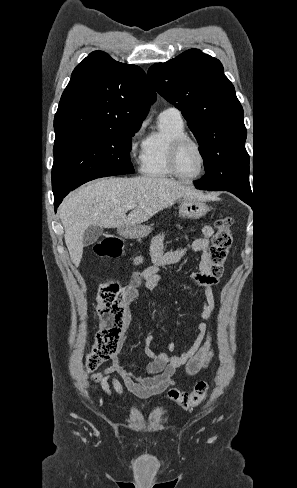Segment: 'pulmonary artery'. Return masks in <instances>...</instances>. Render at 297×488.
Instances as JSON below:
<instances>
[{
    "label": "pulmonary artery",
    "instance_id": "obj_1",
    "mask_svg": "<svg viewBox=\"0 0 297 488\" xmlns=\"http://www.w3.org/2000/svg\"><path fill=\"white\" fill-rule=\"evenodd\" d=\"M161 115H170V116L181 117L180 111L175 107H170V108L165 109Z\"/></svg>",
    "mask_w": 297,
    "mask_h": 488
}]
</instances>
